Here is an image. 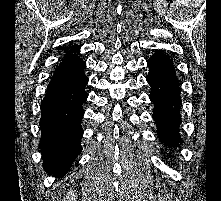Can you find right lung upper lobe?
Segmentation results:
<instances>
[{
  "label": "right lung upper lobe",
  "instance_id": "cb5924a9",
  "mask_svg": "<svg viewBox=\"0 0 221 201\" xmlns=\"http://www.w3.org/2000/svg\"><path fill=\"white\" fill-rule=\"evenodd\" d=\"M79 52V46H72L68 52L66 53L64 59L62 61H78L82 60L78 55L75 53Z\"/></svg>",
  "mask_w": 221,
  "mask_h": 201
}]
</instances>
